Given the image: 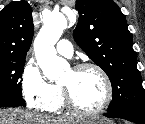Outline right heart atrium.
<instances>
[{
    "label": "right heart atrium",
    "mask_w": 145,
    "mask_h": 124,
    "mask_svg": "<svg viewBox=\"0 0 145 124\" xmlns=\"http://www.w3.org/2000/svg\"><path fill=\"white\" fill-rule=\"evenodd\" d=\"M21 89L26 102L35 109H46L55 102L54 85L43 77L38 65L30 60L22 71Z\"/></svg>",
    "instance_id": "obj_1"
}]
</instances>
